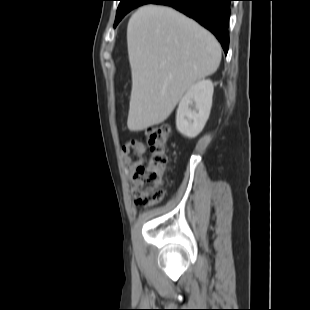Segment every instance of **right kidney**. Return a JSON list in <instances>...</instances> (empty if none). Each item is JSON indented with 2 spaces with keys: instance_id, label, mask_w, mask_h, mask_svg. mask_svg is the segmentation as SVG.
Segmentation results:
<instances>
[{
  "instance_id": "right-kidney-1",
  "label": "right kidney",
  "mask_w": 310,
  "mask_h": 310,
  "mask_svg": "<svg viewBox=\"0 0 310 310\" xmlns=\"http://www.w3.org/2000/svg\"><path fill=\"white\" fill-rule=\"evenodd\" d=\"M213 83L203 79L192 85L179 102L176 128L185 137L194 138L204 128L212 107Z\"/></svg>"
}]
</instances>
